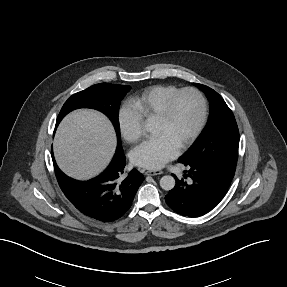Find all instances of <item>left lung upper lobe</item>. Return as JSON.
<instances>
[{"label":"left lung upper lobe","instance_id":"1","mask_svg":"<svg viewBox=\"0 0 287 287\" xmlns=\"http://www.w3.org/2000/svg\"><path fill=\"white\" fill-rule=\"evenodd\" d=\"M210 102L208 123L194 144L179 158L185 166L193 163L215 165L235 170L239 147V130L232 111L213 89L194 83Z\"/></svg>","mask_w":287,"mask_h":287}]
</instances>
